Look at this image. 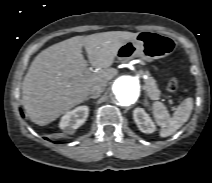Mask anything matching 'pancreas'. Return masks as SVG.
Instances as JSON below:
<instances>
[{
	"instance_id": "1",
	"label": "pancreas",
	"mask_w": 212,
	"mask_h": 183,
	"mask_svg": "<svg viewBox=\"0 0 212 183\" xmlns=\"http://www.w3.org/2000/svg\"><path fill=\"white\" fill-rule=\"evenodd\" d=\"M144 86L147 95L152 100H158L160 98L161 92L157 88L156 81L153 77L149 76L147 79L144 80Z\"/></svg>"
}]
</instances>
